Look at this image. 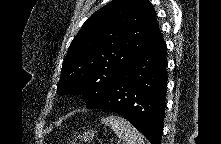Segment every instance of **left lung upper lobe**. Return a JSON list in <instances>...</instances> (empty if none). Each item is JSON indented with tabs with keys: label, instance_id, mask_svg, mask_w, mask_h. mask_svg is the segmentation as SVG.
<instances>
[{
	"label": "left lung upper lobe",
	"instance_id": "5c2ea615",
	"mask_svg": "<svg viewBox=\"0 0 221 144\" xmlns=\"http://www.w3.org/2000/svg\"><path fill=\"white\" fill-rule=\"evenodd\" d=\"M159 30L148 0H113L86 20L63 61L58 94H82L91 107Z\"/></svg>",
	"mask_w": 221,
	"mask_h": 144
}]
</instances>
